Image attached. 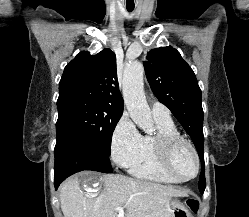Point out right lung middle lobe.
<instances>
[{"label":"right lung middle lobe","instance_id":"obj_1","mask_svg":"<svg viewBox=\"0 0 249 217\" xmlns=\"http://www.w3.org/2000/svg\"><path fill=\"white\" fill-rule=\"evenodd\" d=\"M56 130L67 128L80 135L99 151L110 155L113 131L122 116V109L89 98H58Z\"/></svg>","mask_w":249,"mask_h":217}]
</instances>
